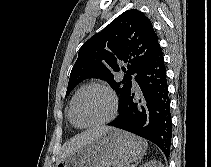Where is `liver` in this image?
Listing matches in <instances>:
<instances>
[{
    "instance_id": "obj_1",
    "label": "liver",
    "mask_w": 211,
    "mask_h": 167,
    "mask_svg": "<svg viewBox=\"0 0 211 167\" xmlns=\"http://www.w3.org/2000/svg\"><path fill=\"white\" fill-rule=\"evenodd\" d=\"M111 129H112L111 127L100 126L93 129H89L83 132L82 134L73 137L64 145L62 152L59 156V159L57 160V163L62 161L64 158H66L73 152L81 150L90 142L102 136L103 134H105L107 131Z\"/></svg>"
}]
</instances>
